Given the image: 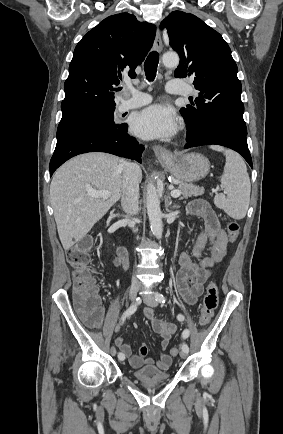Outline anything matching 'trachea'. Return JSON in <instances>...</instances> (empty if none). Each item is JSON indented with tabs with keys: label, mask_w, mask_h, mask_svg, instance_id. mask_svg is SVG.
Masks as SVG:
<instances>
[{
	"label": "trachea",
	"mask_w": 283,
	"mask_h": 434,
	"mask_svg": "<svg viewBox=\"0 0 283 434\" xmlns=\"http://www.w3.org/2000/svg\"><path fill=\"white\" fill-rule=\"evenodd\" d=\"M158 63L159 54L156 51H152L144 63V71L148 81H153L155 79Z\"/></svg>",
	"instance_id": "1"
}]
</instances>
